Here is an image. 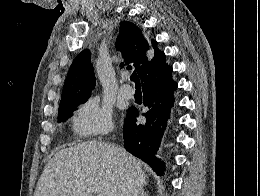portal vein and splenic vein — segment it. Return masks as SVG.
Listing matches in <instances>:
<instances>
[{"label": "portal vein and splenic vein", "instance_id": "portal-vein-and-splenic-vein-1", "mask_svg": "<svg viewBox=\"0 0 260 196\" xmlns=\"http://www.w3.org/2000/svg\"><path fill=\"white\" fill-rule=\"evenodd\" d=\"M94 196H102V194H98V192H94Z\"/></svg>", "mask_w": 260, "mask_h": 196}]
</instances>
